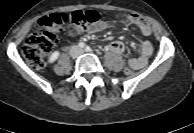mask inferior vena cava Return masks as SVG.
Returning a JSON list of instances; mask_svg holds the SVG:
<instances>
[{
	"instance_id": "1",
	"label": "inferior vena cava",
	"mask_w": 194,
	"mask_h": 133,
	"mask_svg": "<svg viewBox=\"0 0 194 133\" xmlns=\"http://www.w3.org/2000/svg\"><path fill=\"white\" fill-rule=\"evenodd\" d=\"M82 53H83V51L80 48H78L77 46H72V48L70 50V54L73 57H76Z\"/></svg>"
}]
</instances>
